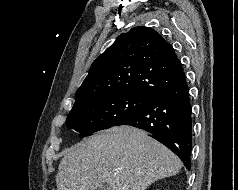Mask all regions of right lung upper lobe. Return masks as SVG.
Instances as JSON below:
<instances>
[{
  "instance_id": "right-lung-upper-lobe-1",
  "label": "right lung upper lobe",
  "mask_w": 238,
  "mask_h": 190,
  "mask_svg": "<svg viewBox=\"0 0 238 190\" xmlns=\"http://www.w3.org/2000/svg\"><path fill=\"white\" fill-rule=\"evenodd\" d=\"M173 47L155 30L135 27L91 65L74 105L87 99L134 94L153 100L184 76Z\"/></svg>"
}]
</instances>
